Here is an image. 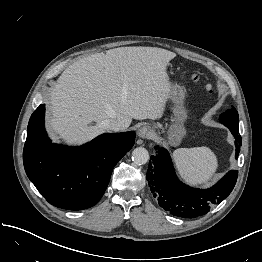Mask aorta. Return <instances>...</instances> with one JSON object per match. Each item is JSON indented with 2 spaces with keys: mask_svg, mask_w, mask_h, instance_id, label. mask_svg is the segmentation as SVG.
Instances as JSON below:
<instances>
[{
  "mask_svg": "<svg viewBox=\"0 0 262 262\" xmlns=\"http://www.w3.org/2000/svg\"><path fill=\"white\" fill-rule=\"evenodd\" d=\"M132 160L137 165H144L149 160V153L144 147H137L132 151Z\"/></svg>",
  "mask_w": 262,
  "mask_h": 262,
  "instance_id": "762f6f07",
  "label": "aorta"
}]
</instances>
